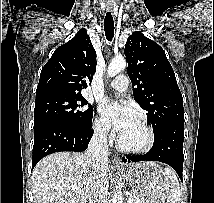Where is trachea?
<instances>
[{
  "label": "trachea",
  "instance_id": "3493384b",
  "mask_svg": "<svg viewBox=\"0 0 214 203\" xmlns=\"http://www.w3.org/2000/svg\"><path fill=\"white\" fill-rule=\"evenodd\" d=\"M104 31L105 36L108 41H112L114 37V21L112 14L110 12L106 13L105 19H104Z\"/></svg>",
  "mask_w": 214,
  "mask_h": 203
}]
</instances>
